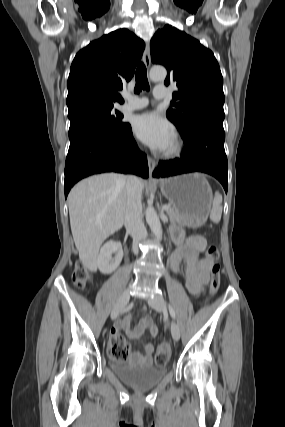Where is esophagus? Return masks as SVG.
I'll return each mask as SVG.
<instances>
[{"mask_svg":"<svg viewBox=\"0 0 285 427\" xmlns=\"http://www.w3.org/2000/svg\"><path fill=\"white\" fill-rule=\"evenodd\" d=\"M143 60H144V64L147 68L150 67L151 65V56H150V48L148 43L146 44L145 47V51H144V56H143ZM148 166H149V172H150V176L152 175L155 167H156V162L152 157H148Z\"/></svg>","mask_w":285,"mask_h":427,"instance_id":"1","label":"esophagus"}]
</instances>
